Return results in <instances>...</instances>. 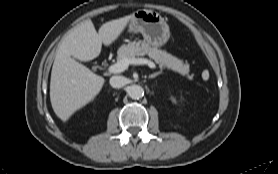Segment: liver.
I'll return each instance as SVG.
<instances>
[{"label": "liver", "instance_id": "6515ba94", "mask_svg": "<svg viewBox=\"0 0 278 174\" xmlns=\"http://www.w3.org/2000/svg\"><path fill=\"white\" fill-rule=\"evenodd\" d=\"M133 15L104 23L97 33L91 20L73 28L56 53L51 71L50 101L55 114L66 122L100 92L104 78L80 61H91L101 52L102 44L111 45L123 33ZM75 58V59H74Z\"/></svg>", "mask_w": 278, "mask_h": 174}]
</instances>
